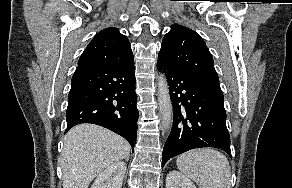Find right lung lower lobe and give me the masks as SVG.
<instances>
[{
  "mask_svg": "<svg viewBox=\"0 0 292 188\" xmlns=\"http://www.w3.org/2000/svg\"><path fill=\"white\" fill-rule=\"evenodd\" d=\"M134 61L127 64H79L68 95L67 130L93 123L136 143L137 95ZM65 132V133H66Z\"/></svg>",
  "mask_w": 292,
  "mask_h": 188,
  "instance_id": "1",
  "label": "right lung lower lobe"
}]
</instances>
